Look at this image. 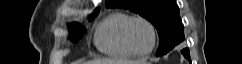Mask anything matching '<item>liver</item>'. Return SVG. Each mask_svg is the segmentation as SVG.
<instances>
[{"instance_id":"1","label":"liver","mask_w":242,"mask_h":64,"mask_svg":"<svg viewBox=\"0 0 242 64\" xmlns=\"http://www.w3.org/2000/svg\"><path fill=\"white\" fill-rule=\"evenodd\" d=\"M143 61H127V60H113V59H96L89 61L86 64H138Z\"/></svg>"}]
</instances>
